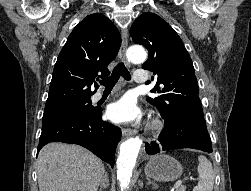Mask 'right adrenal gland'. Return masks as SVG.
Here are the masks:
<instances>
[{
    "label": "right adrenal gland",
    "mask_w": 251,
    "mask_h": 191,
    "mask_svg": "<svg viewBox=\"0 0 251 191\" xmlns=\"http://www.w3.org/2000/svg\"><path fill=\"white\" fill-rule=\"evenodd\" d=\"M108 185H109V179H108L107 171H104V175L100 181L99 191H102L103 187L104 189H106Z\"/></svg>",
    "instance_id": "obj_1"
}]
</instances>
